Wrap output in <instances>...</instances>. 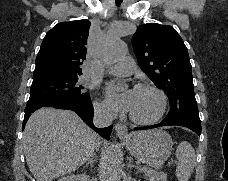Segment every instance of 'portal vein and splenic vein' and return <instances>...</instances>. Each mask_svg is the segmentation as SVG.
I'll use <instances>...</instances> for the list:
<instances>
[{
	"instance_id": "portal-vein-and-splenic-vein-1",
	"label": "portal vein and splenic vein",
	"mask_w": 228,
	"mask_h": 181,
	"mask_svg": "<svg viewBox=\"0 0 228 181\" xmlns=\"http://www.w3.org/2000/svg\"><path fill=\"white\" fill-rule=\"evenodd\" d=\"M149 167L151 168L152 166L150 165ZM146 172V168H143L142 166L138 168V174H145Z\"/></svg>"
}]
</instances>
